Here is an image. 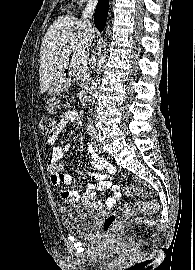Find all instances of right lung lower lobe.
<instances>
[{"label": "right lung lower lobe", "mask_w": 195, "mask_h": 270, "mask_svg": "<svg viewBox=\"0 0 195 270\" xmlns=\"http://www.w3.org/2000/svg\"><path fill=\"white\" fill-rule=\"evenodd\" d=\"M109 8V0H99L94 14V24L101 32L105 28Z\"/></svg>", "instance_id": "98d812e1"}]
</instances>
